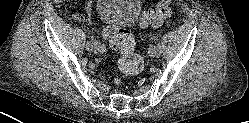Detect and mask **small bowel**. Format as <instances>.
<instances>
[{
    "mask_svg": "<svg viewBox=\"0 0 249 123\" xmlns=\"http://www.w3.org/2000/svg\"><path fill=\"white\" fill-rule=\"evenodd\" d=\"M84 3H85V14H81L79 12H73L72 17L77 21L92 22L94 2L93 0H84ZM104 36L107 37L105 34Z\"/></svg>",
    "mask_w": 249,
    "mask_h": 123,
    "instance_id": "1",
    "label": "small bowel"
}]
</instances>
